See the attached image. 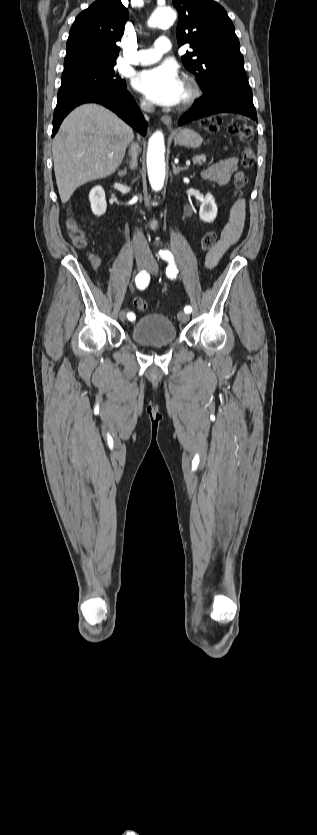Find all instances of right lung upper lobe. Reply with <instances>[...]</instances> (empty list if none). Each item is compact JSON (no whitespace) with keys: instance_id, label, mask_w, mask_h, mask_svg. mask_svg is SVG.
<instances>
[{"instance_id":"cb5924a9","label":"right lung upper lobe","mask_w":317,"mask_h":835,"mask_svg":"<svg viewBox=\"0 0 317 835\" xmlns=\"http://www.w3.org/2000/svg\"><path fill=\"white\" fill-rule=\"evenodd\" d=\"M128 11L121 0H97L75 19L64 61L77 59L116 62Z\"/></svg>"}]
</instances>
